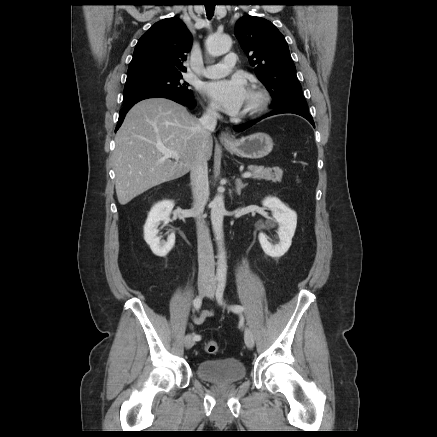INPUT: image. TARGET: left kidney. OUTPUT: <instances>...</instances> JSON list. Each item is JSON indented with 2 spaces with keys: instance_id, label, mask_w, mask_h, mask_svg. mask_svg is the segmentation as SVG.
Here are the masks:
<instances>
[{
  "instance_id": "5707ae66",
  "label": "left kidney",
  "mask_w": 437,
  "mask_h": 437,
  "mask_svg": "<svg viewBox=\"0 0 437 437\" xmlns=\"http://www.w3.org/2000/svg\"><path fill=\"white\" fill-rule=\"evenodd\" d=\"M262 205L272 211L273 218L278 223L279 242L273 244L269 242L264 233L258 236L260 245L268 256L279 258L283 256L291 246L292 238L297 225V214L276 197H267L262 201Z\"/></svg>"
}]
</instances>
